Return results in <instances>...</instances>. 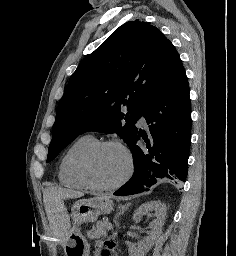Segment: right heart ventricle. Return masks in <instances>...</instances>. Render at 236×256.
Returning a JSON list of instances; mask_svg holds the SVG:
<instances>
[{
    "mask_svg": "<svg viewBox=\"0 0 236 256\" xmlns=\"http://www.w3.org/2000/svg\"><path fill=\"white\" fill-rule=\"evenodd\" d=\"M96 143L93 136L82 135L63 154L58 166V180L63 186L79 190L87 188L80 177V164L84 155Z\"/></svg>",
    "mask_w": 236,
    "mask_h": 256,
    "instance_id": "right-heart-ventricle-1",
    "label": "right heart ventricle"
}]
</instances>
